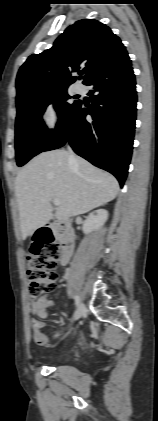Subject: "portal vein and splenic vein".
<instances>
[{"label":"portal vein and splenic vein","mask_w":158,"mask_h":421,"mask_svg":"<svg viewBox=\"0 0 158 421\" xmlns=\"http://www.w3.org/2000/svg\"><path fill=\"white\" fill-rule=\"evenodd\" d=\"M53 203H54V205H56V206H58V205L60 204L59 200H57V199H54V200H53Z\"/></svg>","instance_id":"18ae733b"}]
</instances>
